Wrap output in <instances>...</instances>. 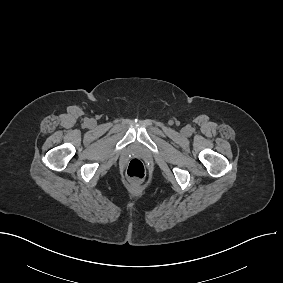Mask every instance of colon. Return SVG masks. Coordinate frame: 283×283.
I'll use <instances>...</instances> for the list:
<instances>
[{"instance_id":"1","label":"colon","mask_w":283,"mask_h":283,"mask_svg":"<svg viewBox=\"0 0 283 283\" xmlns=\"http://www.w3.org/2000/svg\"><path fill=\"white\" fill-rule=\"evenodd\" d=\"M126 174L133 180H140L145 176V166L139 159H132L127 166Z\"/></svg>"}]
</instances>
